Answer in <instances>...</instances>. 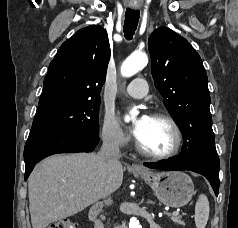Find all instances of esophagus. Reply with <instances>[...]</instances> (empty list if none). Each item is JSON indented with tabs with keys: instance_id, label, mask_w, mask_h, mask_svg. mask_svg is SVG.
<instances>
[{
	"instance_id": "1",
	"label": "esophagus",
	"mask_w": 238,
	"mask_h": 228,
	"mask_svg": "<svg viewBox=\"0 0 238 228\" xmlns=\"http://www.w3.org/2000/svg\"><path fill=\"white\" fill-rule=\"evenodd\" d=\"M132 168L134 169H141V166L138 164H132Z\"/></svg>"
}]
</instances>
